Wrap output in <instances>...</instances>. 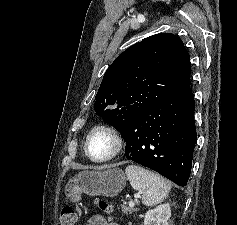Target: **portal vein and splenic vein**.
<instances>
[{"instance_id": "1", "label": "portal vein and splenic vein", "mask_w": 237, "mask_h": 225, "mask_svg": "<svg viewBox=\"0 0 237 225\" xmlns=\"http://www.w3.org/2000/svg\"><path fill=\"white\" fill-rule=\"evenodd\" d=\"M139 196H140L139 194L135 195L136 198H138ZM128 205L129 207L133 208L135 204L133 201H129Z\"/></svg>"}]
</instances>
